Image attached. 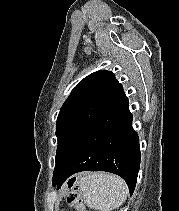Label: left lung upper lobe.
<instances>
[{
  "label": "left lung upper lobe",
  "instance_id": "1",
  "mask_svg": "<svg viewBox=\"0 0 179 211\" xmlns=\"http://www.w3.org/2000/svg\"><path fill=\"white\" fill-rule=\"evenodd\" d=\"M122 91L115 75L106 70L88 75L72 90L57 119L58 147L53 175L66 169L98 117Z\"/></svg>",
  "mask_w": 179,
  "mask_h": 211
}]
</instances>
